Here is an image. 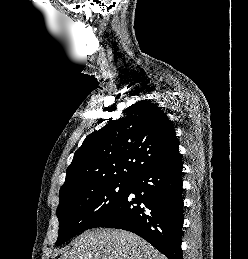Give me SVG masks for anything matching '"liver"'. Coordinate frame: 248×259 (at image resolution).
Returning a JSON list of instances; mask_svg holds the SVG:
<instances>
[{
  "label": "liver",
  "mask_w": 248,
  "mask_h": 259,
  "mask_svg": "<svg viewBox=\"0 0 248 259\" xmlns=\"http://www.w3.org/2000/svg\"><path fill=\"white\" fill-rule=\"evenodd\" d=\"M59 259H167L136 234L116 229L86 231Z\"/></svg>",
  "instance_id": "6515ba94"
}]
</instances>
